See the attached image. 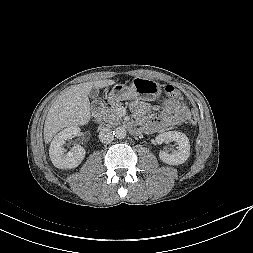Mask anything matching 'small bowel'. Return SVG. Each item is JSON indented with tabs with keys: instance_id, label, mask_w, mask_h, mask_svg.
Listing matches in <instances>:
<instances>
[{
	"instance_id": "small-bowel-1",
	"label": "small bowel",
	"mask_w": 253,
	"mask_h": 253,
	"mask_svg": "<svg viewBox=\"0 0 253 253\" xmlns=\"http://www.w3.org/2000/svg\"><path fill=\"white\" fill-rule=\"evenodd\" d=\"M130 109L134 115L130 127L135 129L137 126H142L148 133H158L167 128L178 126L186 121L191 114L182 100L173 98L167 99L163 103L161 114L158 116H151V106L141 101H133Z\"/></svg>"
}]
</instances>
